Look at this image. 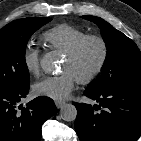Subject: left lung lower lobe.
<instances>
[{
  "label": "left lung lower lobe",
  "instance_id": "left-lung-lower-lobe-1",
  "mask_svg": "<svg viewBox=\"0 0 141 141\" xmlns=\"http://www.w3.org/2000/svg\"><path fill=\"white\" fill-rule=\"evenodd\" d=\"M84 94L99 105L73 103L80 141H137L141 135V86L115 85L96 92L87 89ZM98 109L102 110L96 112Z\"/></svg>",
  "mask_w": 141,
  "mask_h": 141
}]
</instances>
